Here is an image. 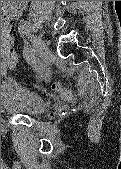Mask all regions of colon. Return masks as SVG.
I'll return each mask as SVG.
<instances>
[{"label":"colon","mask_w":121,"mask_h":169,"mask_svg":"<svg viewBox=\"0 0 121 169\" xmlns=\"http://www.w3.org/2000/svg\"><path fill=\"white\" fill-rule=\"evenodd\" d=\"M1 53L2 67L4 69L13 68L17 62V56L9 40L6 39L1 43ZM52 90L57 92L63 100L69 101L72 99L71 91L60 83H53Z\"/></svg>","instance_id":"obj_1"}]
</instances>
